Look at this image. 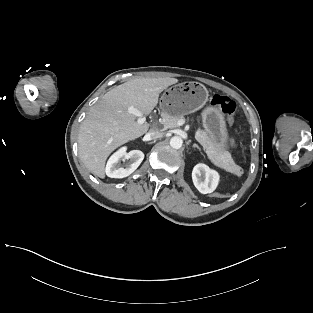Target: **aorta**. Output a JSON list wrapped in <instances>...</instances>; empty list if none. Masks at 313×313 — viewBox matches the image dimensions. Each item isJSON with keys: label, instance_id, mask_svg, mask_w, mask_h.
I'll list each match as a JSON object with an SVG mask.
<instances>
[{"label": "aorta", "instance_id": "762f6f07", "mask_svg": "<svg viewBox=\"0 0 313 313\" xmlns=\"http://www.w3.org/2000/svg\"><path fill=\"white\" fill-rule=\"evenodd\" d=\"M183 140L179 136H174L170 139V146L174 149H180L182 147Z\"/></svg>", "mask_w": 313, "mask_h": 313}]
</instances>
